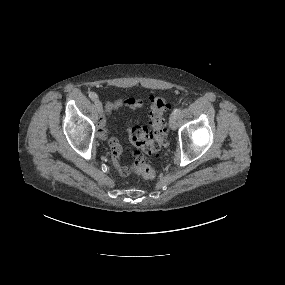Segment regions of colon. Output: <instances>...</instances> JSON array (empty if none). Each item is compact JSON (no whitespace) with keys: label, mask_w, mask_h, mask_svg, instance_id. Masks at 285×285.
I'll return each instance as SVG.
<instances>
[{"label":"colon","mask_w":285,"mask_h":285,"mask_svg":"<svg viewBox=\"0 0 285 285\" xmlns=\"http://www.w3.org/2000/svg\"><path fill=\"white\" fill-rule=\"evenodd\" d=\"M171 108L170 102L164 97H152L149 109V127L131 125L128 128V138L136 148L135 172L146 180L156 176L155 169L144 160V154L156 155L166 145L167 113Z\"/></svg>","instance_id":"obj_1"}]
</instances>
